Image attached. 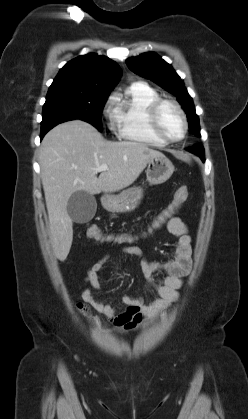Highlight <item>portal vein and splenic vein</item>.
I'll use <instances>...</instances> for the list:
<instances>
[{"label":"portal vein and splenic vein","mask_w":248,"mask_h":419,"mask_svg":"<svg viewBox=\"0 0 248 419\" xmlns=\"http://www.w3.org/2000/svg\"><path fill=\"white\" fill-rule=\"evenodd\" d=\"M94 170L96 172L106 171V170H108V165L107 164H102V165L98 166L97 168H95Z\"/></svg>","instance_id":"portal-vein-and-splenic-vein-1"}]
</instances>
